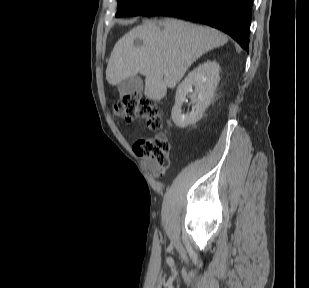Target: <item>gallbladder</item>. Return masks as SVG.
Returning <instances> with one entry per match:
<instances>
[{
    "mask_svg": "<svg viewBox=\"0 0 309 288\" xmlns=\"http://www.w3.org/2000/svg\"><path fill=\"white\" fill-rule=\"evenodd\" d=\"M143 81L138 75L130 76L122 80L118 85L120 95L125 96L134 92L141 93L143 91Z\"/></svg>",
    "mask_w": 309,
    "mask_h": 288,
    "instance_id": "obj_1",
    "label": "gallbladder"
}]
</instances>
